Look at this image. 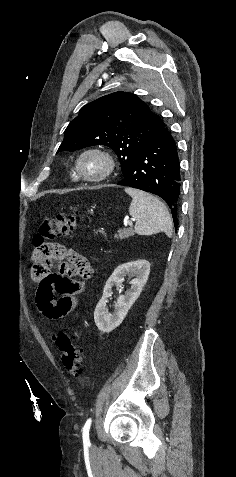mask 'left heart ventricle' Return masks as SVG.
I'll return each instance as SVG.
<instances>
[{
	"mask_svg": "<svg viewBox=\"0 0 236 477\" xmlns=\"http://www.w3.org/2000/svg\"><path fill=\"white\" fill-rule=\"evenodd\" d=\"M81 169L84 174L94 176L105 169V162L97 155H88L82 160Z\"/></svg>",
	"mask_w": 236,
	"mask_h": 477,
	"instance_id": "obj_1",
	"label": "left heart ventricle"
}]
</instances>
